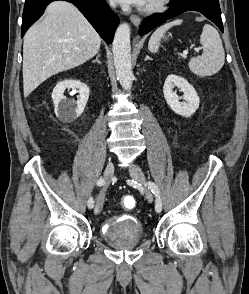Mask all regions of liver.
<instances>
[{
    "label": "liver",
    "mask_w": 249,
    "mask_h": 294,
    "mask_svg": "<svg viewBox=\"0 0 249 294\" xmlns=\"http://www.w3.org/2000/svg\"><path fill=\"white\" fill-rule=\"evenodd\" d=\"M100 45V36L74 5L65 1L49 4L43 20L24 36V96L49 77L93 58Z\"/></svg>",
    "instance_id": "obj_1"
}]
</instances>
